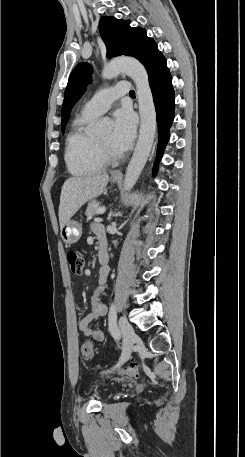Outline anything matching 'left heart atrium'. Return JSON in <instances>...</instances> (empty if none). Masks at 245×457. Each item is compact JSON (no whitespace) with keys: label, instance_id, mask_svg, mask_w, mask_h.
<instances>
[{"label":"left heart atrium","instance_id":"left-heart-atrium-1","mask_svg":"<svg viewBox=\"0 0 245 457\" xmlns=\"http://www.w3.org/2000/svg\"><path fill=\"white\" fill-rule=\"evenodd\" d=\"M113 121L112 144L120 151H126L131 147L134 139L135 116L129 109L121 108L114 112Z\"/></svg>","mask_w":245,"mask_h":457}]
</instances>
